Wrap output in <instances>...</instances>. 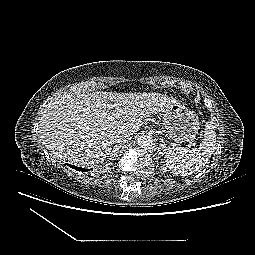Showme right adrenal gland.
Masks as SVG:
<instances>
[{
  "label": "right adrenal gland",
  "instance_id": "2a0ac1e0",
  "mask_svg": "<svg viewBox=\"0 0 255 255\" xmlns=\"http://www.w3.org/2000/svg\"><path fill=\"white\" fill-rule=\"evenodd\" d=\"M121 146H122L121 144L115 145L113 150L110 153V156L113 158L117 157L118 151L121 148Z\"/></svg>",
  "mask_w": 255,
  "mask_h": 255
}]
</instances>
